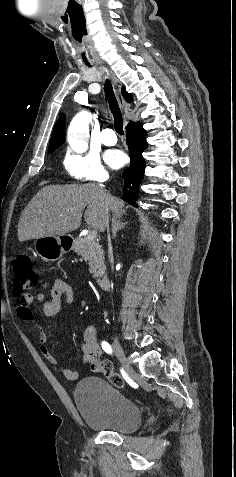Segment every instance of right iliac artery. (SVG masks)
<instances>
[{
  "label": "right iliac artery",
  "mask_w": 236,
  "mask_h": 477,
  "mask_svg": "<svg viewBox=\"0 0 236 477\" xmlns=\"http://www.w3.org/2000/svg\"><path fill=\"white\" fill-rule=\"evenodd\" d=\"M101 346H102V349H103L106 353L112 354L113 351H112L111 345H110L108 342L103 341V342L101 343Z\"/></svg>",
  "instance_id": "obj_1"
}]
</instances>
